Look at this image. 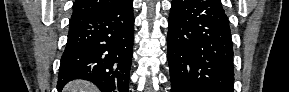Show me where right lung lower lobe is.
I'll list each match as a JSON object with an SVG mask.
<instances>
[{"label":"right lung lower lobe","instance_id":"right-lung-lower-lobe-1","mask_svg":"<svg viewBox=\"0 0 289 92\" xmlns=\"http://www.w3.org/2000/svg\"><path fill=\"white\" fill-rule=\"evenodd\" d=\"M133 31L132 0L72 17L59 68L58 91L71 80L85 79L102 92H128Z\"/></svg>","mask_w":289,"mask_h":92}]
</instances>
